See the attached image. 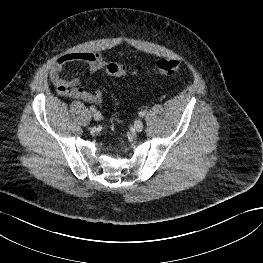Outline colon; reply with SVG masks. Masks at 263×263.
I'll return each mask as SVG.
<instances>
[{
	"instance_id": "obj_1",
	"label": "colon",
	"mask_w": 263,
	"mask_h": 263,
	"mask_svg": "<svg viewBox=\"0 0 263 263\" xmlns=\"http://www.w3.org/2000/svg\"><path fill=\"white\" fill-rule=\"evenodd\" d=\"M103 69L106 74L111 76H129L142 73H152L156 76H172L180 72L181 63L171 58L161 59L152 70H149L144 69L140 65L128 67L118 62H111L106 63Z\"/></svg>"
}]
</instances>
